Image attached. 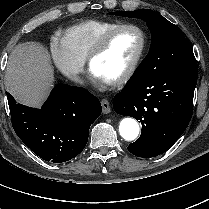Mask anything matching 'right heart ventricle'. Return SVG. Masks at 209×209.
<instances>
[{"mask_svg": "<svg viewBox=\"0 0 209 209\" xmlns=\"http://www.w3.org/2000/svg\"><path fill=\"white\" fill-rule=\"evenodd\" d=\"M118 24V21L112 20H84L64 29L63 38L73 54L78 58L85 60L98 39L107 30Z\"/></svg>", "mask_w": 209, "mask_h": 209, "instance_id": "e07e8e85", "label": "right heart ventricle"}]
</instances>
